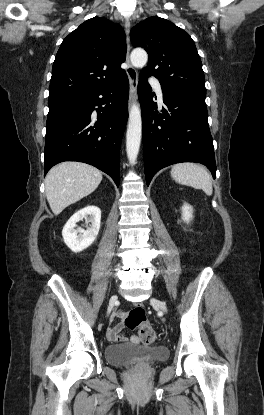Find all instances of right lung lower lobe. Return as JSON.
I'll return each mask as SVG.
<instances>
[{
  "mask_svg": "<svg viewBox=\"0 0 264 415\" xmlns=\"http://www.w3.org/2000/svg\"><path fill=\"white\" fill-rule=\"evenodd\" d=\"M128 94L125 72L101 88L49 101L44 176L57 163L79 161L104 171L119 186L120 145L128 119Z\"/></svg>",
  "mask_w": 264,
  "mask_h": 415,
  "instance_id": "1",
  "label": "right lung lower lobe"
}]
</instances>
